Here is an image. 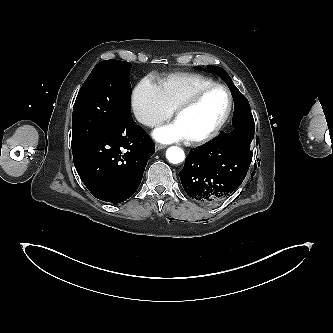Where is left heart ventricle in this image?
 I'll return each instance as SVG.
<instances>
[{"instance_id":"left-heart-ventricle-1","label":"left heart ventricle","mask_w":333,"mask_h":333,"mask_svg":"<svg viewBox=\"0 0 333 333\" xmlns=\"http://www.w3.org/2000/svg\"><path fill=\"white\" fill-rule=\"evenodd\" d=\"M228 96L217 88L208 92L194 107L182 113L176 123L187 138L202 136L211 131L226 112Z\"/></svg>"}]
</instances>
